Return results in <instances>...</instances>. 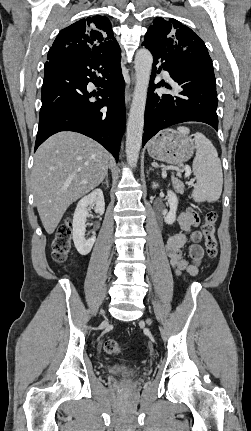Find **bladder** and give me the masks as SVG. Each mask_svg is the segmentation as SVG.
<instances>
[{
	"label": "bladder",
	"instance_id": "obj_1",
	"mask_svg": "<svg viewBox=\"0 0 251 431\" xmlns=\"http://www.w3.org/2000/svg\"><path fill=\"white\" fill-rule=\"evenodd\" d=\"M106 372L112 375L127 374L131 372V369L125 365L115 364L107 367Z\"/></svg>",
	"mask_w": 251,
	"mask_h": 431
}]
</instances>
